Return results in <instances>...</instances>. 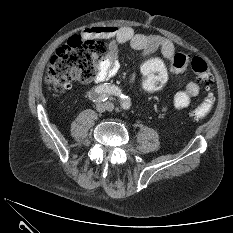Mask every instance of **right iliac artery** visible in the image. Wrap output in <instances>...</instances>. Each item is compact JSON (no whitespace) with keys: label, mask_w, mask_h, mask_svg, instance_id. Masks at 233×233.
Wrapping results in <instances>:
<instances>
[{"label":"right iliac artery","mask_w":233,"mask_h":233,"mask_svg":"<svg viewBox=\"0 0 233 233\" xmlns=\"http://www.w3.org/2000/svg\"><path fill=\"white\" fill-rule=\"evenodd\" d=\"M110 95L120 96L122 95L121 90L114 85H101L95 88L89 95L93 102H104Z\"/></svg>","instance_id":"1"}]
</instances>
